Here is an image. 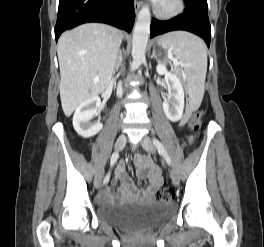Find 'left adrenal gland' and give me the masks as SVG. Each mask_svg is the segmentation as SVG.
<instances>
[{
  "mask_svg": "<svg viewBox=\"0 0 264 247\" xmlns=\"http://www.w3.org/2000/svg\"><path fill=\"white\" fill-rule=\"evenodd\" d=\"M150 58H151V59H152V58L157 59V55H156V51H155V49H153V52H152V55L150 56Z\"/></svg>",
  "mask_w": 264,
  "mask_h": 247,
  "instance_id": "obj_1",
  "label": "left adrenal gland"
}]
</instances>
